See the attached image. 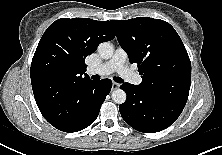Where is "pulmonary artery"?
Masks as SVG:
<instances>
[{"instance_id":"obj_1","label":"pulmonary artery","mask_w":222,"mask_h":155,"mask_svg":"<svg viewBox=\"0 0 222 155\" xmlns=\"http://www.w3.org/2000/svg\"><path fill=\"white\" fill-rule=\"evenodd\" d=\"M115 71L132 84L137 85L142 81L141 77L127 66V53L121 47L115 50L113 56L108 61L97 68H90L88 73L108 75Z\"/></svg>"}]
</instances>
